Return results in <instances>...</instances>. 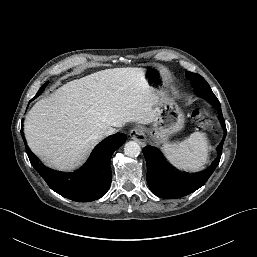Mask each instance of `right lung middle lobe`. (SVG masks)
<instances>
[{"instance_id": "dd1d6c3e", "label": "right lung middle lobe", "mask_w": 257, "mask_h": 257, "mask_svg": "<svg viewBox=\"0 0 257 257\" xmlns=\"http://www.w3.org/2000/svg\"><path fill=\"white\" fill-rule=\"evenodd\" d=\"M47 84H48V82H46V83L40 88V90L38 91V93L36 94L35 97H37L38 95H40V94L43 92V90L45 89V87L47 86ZM35 97H34V98H35Z\"/></svg>"}]
</instances>
